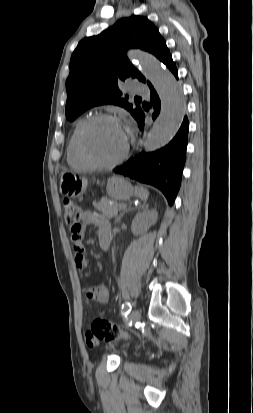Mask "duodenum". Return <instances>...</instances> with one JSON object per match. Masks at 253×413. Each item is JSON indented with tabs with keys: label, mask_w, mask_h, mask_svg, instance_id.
Instances as JSON below:
<instances>
[{
	"label": "duodenum",
	"mask_w": 253,
	"mask_h": 413,
	"mask_svg": "<svg viewBox=\"0 0 253 413\" xmlns=\"http://www.w3.org/2000/svg\"><path fill=\"white\" fill-rule=\"evenodd\" d=\"M110 238L108 234H103L100 236V247L102 250L106 251L109 247Z\"/></svg>",
	"instance_id": "duodenum-1"
}]
</instances>
